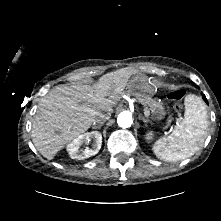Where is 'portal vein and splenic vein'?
Here are the masks:
<instances>
[{
	"label": "portal vein and splenic vein",
	"mask_w": 221,
	"mask_h": 221,
	"mask_svg": "<svg viewBox=\"0 0 221 221\" xmlns=\"http://www.w3.org/2000/svg\"><path fill=\"white\" fill-rule=\"evenodd\" d=\"M144 114H145V116H149L150 115V111L148 110L147 107L144 108Z\"/></svg>",
	"instance_id": "1"
}]
</instances>
